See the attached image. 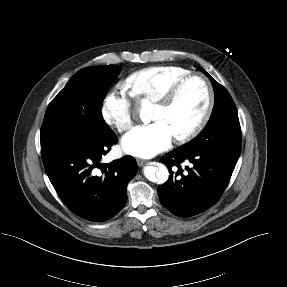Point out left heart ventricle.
<instances>
[{"label":"left heart ventricle","mask_w":287,"mask_h":287,"mask_svg":"<svg viewBox=\"0 0 287 287\" xmlns=\"http://www.w3.org/2000/svg\"><path fill=\"white\" fill-rule=\"evenodd\" d=\"M207 102L206 86L200 79L194 78L183 86L171 107L164 109L155 105L151 120L165 123L173 137L180 136L199 122Z\"/></svg>","instance_id":"left-heart-ventricle-1"}]
</instances>
